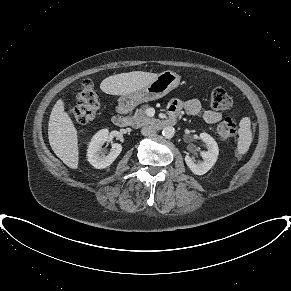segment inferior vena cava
Instances as JSON below:
<instances>
[{
  "instance_id": "602c4592",
  "label": "inferior vena cava",
  "mask_w": 291,
  "mask_h": 291,
  "mask_svg": "<svg viewBox=\"0 0 291 291\" xmlns=\"http://www.w3.org/2000/svg\"><path fill=\"white\" fill-rule=\"evenodd\" d=\"M156 133L155 127L151 125H146L142 127L141 134L144 136H153Z\"/></svg>"
}]
</instances>
